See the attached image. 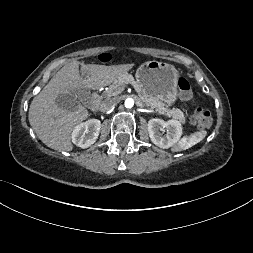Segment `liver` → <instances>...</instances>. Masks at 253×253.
<instances>
[{
	"instance_id": "obj_1",
	"label": "liver",
	"mask_w": 253,
	"mask_h": 253,
	"mask_svg": "<svg viewBox=\"0 0 253 253\" xmlns=\"http://www.w3.org/2000/svg\"><path fill=\"white\" fill-rule=\"evenodd\" d=\"M131 67L132 64L129 67L105 66L78 61L62 67L30 104L28 119L38 138L54 150L71 151L72 131L88 118L89 113L80 104L74 110L61 108L56 104V97L69 92L78 93L83 88L96 90L107 86L118 81Z\"/></svg>"
}]
</instances>
